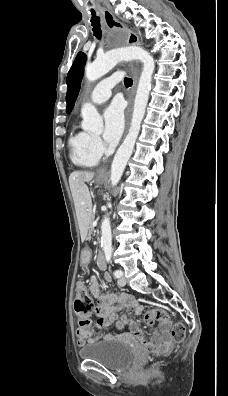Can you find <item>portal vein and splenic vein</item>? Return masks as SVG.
<instances>
[{
	"label": "portal vein and splenic vein",
	"mask_w": 228,
	"mask_h": 396,
	"mask_svg": "<svg viewBox=\"0 0 228 396\" xmlns=\"http://www.w3.org/2000/svg\"><path fill=\"white\" fill-rule=\"evenodd\" d=\"M97 224V221H93L92 225L95 226Z\"/></svg>",
	"instance_id": "portal-vein-and-splenic-vein-1"
}]
</instances>
